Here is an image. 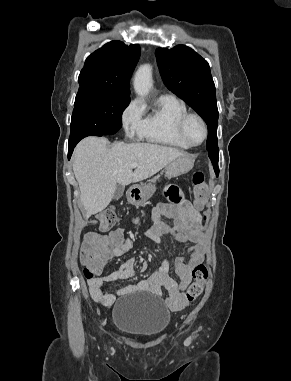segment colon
Listing matches in <instances>:
<instances>
[{"mask_svg":"<svg viewBox=\"0 0 291 381\" xmlns=\"http://www.w3.org/2000/svg\"><path fill=\"white\" fill-rule=\"evenodd\" d=\"M194 196L198 204L205 202L209 195V187L204 181V175L196 172L193 176ZM176 199V196H171ZM200 219L198 215L195 220ZM117 220V212L114 208H108L96 216V222L99 230L105 232L109 230ZM108 257L93 248H83L81 251V262L84 265V275L86 278L97 277ZM193 282L187 289L186 298L188 301H194L203 291L204 283L208 278V268L205 264L199 263L192 270Z\"/></svg>","mask_w":291,"mask_h":381,"instance_id":"colon-1","label":"colon"}]
</instances>
